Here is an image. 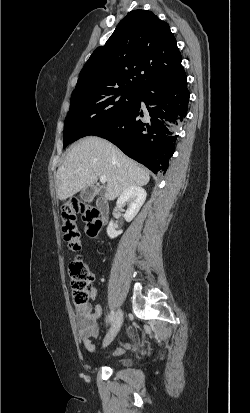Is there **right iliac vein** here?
<instances>
[{
  "instance_id": "1",
  "label": "right iliac vein",
  "mask_w": 250,
  "mask_h": 413,
  "mask_svg": "<svg viewBox=\"0 0 250 413\" xmlns=\"http://www.w3.org/2000/svg\"><path fill=\"white\" fill-rule=\"evenodd\" d=\"M123 322V312L119 309L114 317L110 332L104 339V346L109 345L118 334Z\"/></svg>"
}]
</instances>
